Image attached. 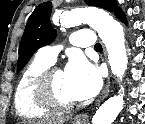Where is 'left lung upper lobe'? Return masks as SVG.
Segmentation results:
<instances>
[{
  "instance_id": "left-lung-upper-lobe-1",
  "label": "left lung upper lobe",
  "mask_w": 145,
  "mask_h": 124,
  "mask_svg": "<svg viewBox=\"0 0 145 124\" xmlns=\"http://www.w3.org/2000/svg\"><path fill=\"white\" fill-rule=\"evenodd\" d=\"M86 3L114 12L116 16L121 12L120 8H116L115 0H86ZM51 12V2H43L29 17L20 42L17 72L23 69L36 50L50 44L56 38V31L50 24Z\"/></svg>"
}]
</instances>
